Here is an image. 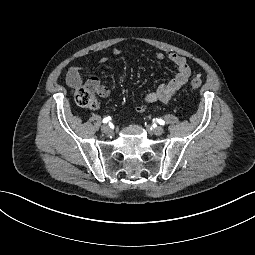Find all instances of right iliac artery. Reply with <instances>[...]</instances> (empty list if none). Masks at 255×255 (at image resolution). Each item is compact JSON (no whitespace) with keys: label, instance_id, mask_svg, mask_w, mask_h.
<instances>
[{"label":"right iliac artery","instance_id":"right-iliac-artery-1","mask_svg":"<svg viewBox=\"0 0 255 255\" xmlns=\"http://www.w3.org/2000/svg\"><path fill=\"white\" fill-rule=\"evenodd\" d=\"M110 120H111V117L108 116V117H106V118L103 119V123H107V122H109Z\"/></svg>","mask_w":255,"mask_h":255}]
</instances>
